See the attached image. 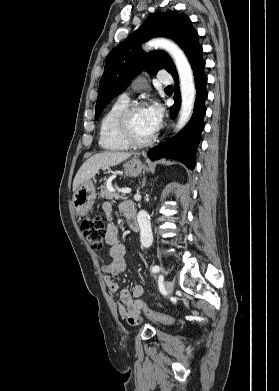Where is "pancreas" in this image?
Segmentation results:
<instances>
[{
  "label": "pancreas",
  "mask_w": 279,
  "mask_h": 391,
  "mask_svg": "<svg viewBox=\"0 0 279 391\" xmlns=\"http://www.w3.org/2000/svg\"><path fill=\"white\" fill-rule=\"evenodd\" d=\"M99 195L101 198H105L108 200H112V199L119 200L123 198V195H120L114 190H109L107 187V183L101 186Z\"/></svg>",
  "instance_id": "1"
}]
</instances>
